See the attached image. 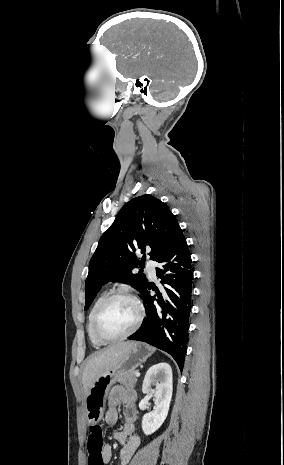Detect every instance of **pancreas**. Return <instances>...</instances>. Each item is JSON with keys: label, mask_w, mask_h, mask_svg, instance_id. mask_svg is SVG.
Listing matches in <instances>:
<instances>
[{"label": "pancreas", "mask_w": 284, "mask_h": 465, "mask_svg": "<svg viewBox=\"0 0 284 465\" xmlns=\"http://www.w3.org/2000/svg\"><path fill=\"white\" fill-rule=\"evenodd\" d=\"M136 371H132V373H122V375H118L117 381L124 385L126 389H134L137 379L135 375Z\"/></svg>", "instance_id": "cf45deb5"}]
</instances>
